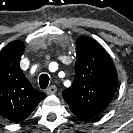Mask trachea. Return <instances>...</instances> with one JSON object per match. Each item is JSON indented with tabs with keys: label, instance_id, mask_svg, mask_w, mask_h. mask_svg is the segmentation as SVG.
Segmentation results:
<instances>
[{
	"label": "trachea",
	"instance_id": "3493384b",
	"mask_svg": "<svg viewBox=\"0 0 133 133\" xmlns=\"http://www.w3.org/2000/svg\"><path fill=\"white\" fill-rule=\"evenodd\" d=\"M39 84L41 89H46L49 84V76L47 74H42L39 77Z\"/></svg>",
	"mask_w": 133,
	"mask_h": 133
}]
</instances>
